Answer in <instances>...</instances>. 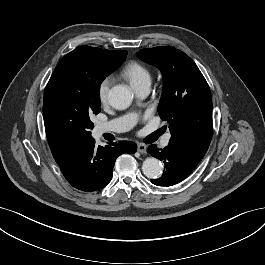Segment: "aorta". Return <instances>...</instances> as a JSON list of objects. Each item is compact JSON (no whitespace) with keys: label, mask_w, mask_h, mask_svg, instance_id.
I'll return each mask as SVG.
<instances>
[{"label":"aorta","mask_w":265,"mask_h":265,"mask_svg":"<svg viewBox=\"0 0 265 265\" xmlns=\"http://www.w3.org/2000/svg\"><path fill=\"white\" fill-rule=\"evenodd\" d=\"M132 99V92L123 85H116L112 87L108 93L110 105L118 110L128 108L132 103ZM142 171L144 175L150 179L159 178L162 174V164L158 159L149 157L144 160L142 164Z\"/></svg>","instance_id":"762f6f07"}]
</instances>
